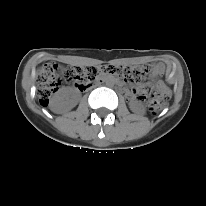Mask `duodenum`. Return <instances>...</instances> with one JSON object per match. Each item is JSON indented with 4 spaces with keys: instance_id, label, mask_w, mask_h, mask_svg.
<instances>
[{
    "instance_id": "1",
    "label": "duodenum",
    "mask_w": 206,
    "mask_h": 206,
    "mask_svg": "<svg viewBox=\"0 0 206 206\" xmlns=\"http://www.w3.org/2000/svg\"><path fill=\"white\" fill-rule=\"evenodd\" d=\"M102 81H103V79H99V80H98L99 83L102 82Z\"/></svg>"
}]
</instances>
